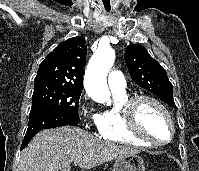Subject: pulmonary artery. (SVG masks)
Returning a JSON list of instances; mask_svg holds the SVG:
<instances>
[{
    "instance_id": "e3ab8cb5",
    "label": "pulmonary artery",
    "mask_w": 199,
    "mask_h": 171,
    "mask_svg": "<svg viewBox=\"0 0 199 171\" xmlns=\"http://www.w3.org/2000/svg\"><path fill=\"white\" fill-rule=\"evenodd\" d=\"M108 85L111 91H123L126 83L123 74L118 70H113L108 75Z\"/></svg>"
}]
</instances>
